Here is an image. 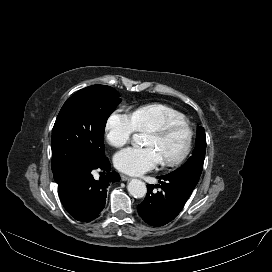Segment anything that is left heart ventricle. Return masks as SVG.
Masks as SVG:
<instances>
[{
    "label": "left heart ventricle",
    "mask_w": 272,
    "mask_h": 272,
    "mask_svg": "<svg viewBox=\"0 0 272 272\" xmlns=\"http://www.w3.org/2000/svg\"><path fill=\"white\" fill-rule=\"evenodd\" d=\"M186 143V132L177 130L165 138L158 137L154 134H148L145 145L158 151L162 160H168L177 156Z\"/></svg>",
    "instance_id": "left-heart-ventricle-1"
}]
</instances>
